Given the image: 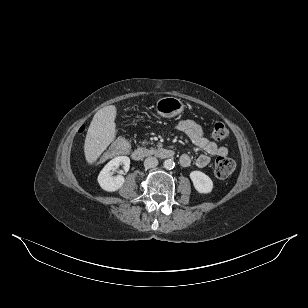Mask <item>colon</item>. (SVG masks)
<instances>
[{
    "mask_svg": "<svg viewBox=\"0 0 308 308\" xmlns=\"http://www.w3.org/2000/svg\"><path fill=\"white\" fill-rule=\"evenodd\" d=\"M83 130V128L81 129ZM229 135V131L227 127L223 123H216L212 129V138L216 141H224L227 139ZM131 147L129 142L125 138H121L116 140L111 149L106 152V154L102 155L100 158V162L102 165H109L112 160L118 158L120 156H126L130 153ZM236 164L234 160L228 157L219 156L214 164V174L216 177L225 179L229 177L235 170Z\"/></svg>",
    "mask_w": 308,
    "mask_h": 308,
    "instance_id": "1",
    "label": "colon"
}]
</instances>
